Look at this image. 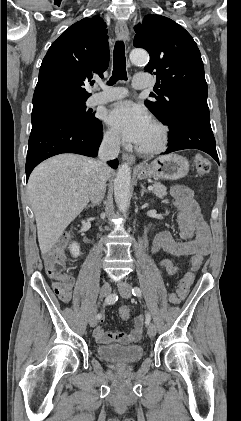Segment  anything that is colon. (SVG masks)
<instances>
[{
	"label": "colon",
	"instance_id": "colon-1",
	"mask_svg": "<svg viewBox=\"0 0 241 421\" xmlns=\"http://www.w3.org/2000/svg\"><path fill=\"white\" fill-rule=\"evenodd\" d=\"M196 170L200 175H206L211 169L210 161L202 156L197 155L195 157ZM45 269L49 277L56 280L54 285L55 291L59 287L70 284L72 278L66 272V261L65 254L62 247H55L47 250L43 255ZM203 263V257L201 255H195L190 259V270L180 280L176 289L175 295L178 299H184L194 282L195 273L201 267ZM159 268L161 271L175 275L179 272V267L170 259H163L159 262ZM119 315L122 319H128L130 317V309L127 306H122L119 309Z\"/></svg>",
	"mask_w": 241,
	"mask_h": 421
}]
</instances>
